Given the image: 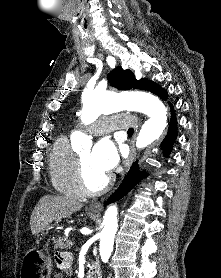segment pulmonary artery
Segmentation results:
<instances>
[{
  "mask_svg": "<svg viewBox=\"0 0 221 278\" xmlns=\"http://www.w3.org/2000/svg\"><path fill=\"white\" fill-rule=\"evenodd\" d=\"M135 124L132 115H117L102 117L98 122L85 127V130L94 135H103L112 129H127Z\"/></svg>",
  "mask_w": 221,
  "mask_h": 278,
  "instance_id": "e3ab8cb5",
  "label": "pulmonary artery"
}]
</instances>
